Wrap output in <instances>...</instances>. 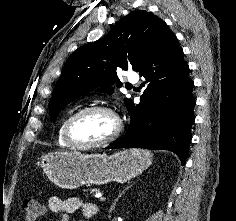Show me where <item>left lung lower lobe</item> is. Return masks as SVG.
<instances>
[{
  "instance_id": "left-lung-lower-lobe-1",
  "label": "left lung lower lobe",
  "mask_w": 236,
  "mask_h": 221,
  "mask_svg": "<svg viewBox=\"0 0 236 221\" xmlns=\"http://www.w3.org/2000/svg\"><path fill=\"white\" fill-rule=\"evenodd\" d=\"M183 50L167 30L150 59L139 70L145 81L140 103L128 107L131 123L124 137L112 148L164 149L184 164L191 142L195 99L193 81Z\"/></svg>"
}]
</instances>
